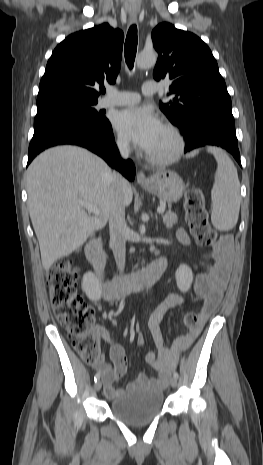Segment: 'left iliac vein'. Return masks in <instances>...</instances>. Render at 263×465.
<instances>
[{"label":"left iliac vein","mask_w":263,"mask_h":465,"mask_svg":"<svg viewBox=\"0 0 263 465\" xmlns=\"http://www.w3.org/2000/svg\"><path fill=\"white\" fill-rule=\"evenodd\" d=\"M170 385H171V387H173V388L177 387V379H176L175 377H172V378L170 379Z\"/></svg>","instance_id":"1"}]
</instances>
